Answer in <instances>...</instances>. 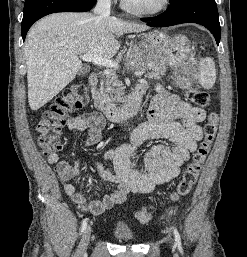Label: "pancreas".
<instances>
[{
	"label": "pancreas",
	"instance_id": "1",
	"mask_svg": "<svg viewBox=\"0 0 247 257\" xmlns=\"http://www.w3.org/2000/svg\"><path fill=\"white\" fill-rule=\"evenodd\" d=\"M134 65L130 68L137 71L149 70L146 77L149 79H161L166 72V67L158 62L150 64L142 62L138 57L132 59ZM99 102L107 107L115 106L116 102L123 101L124 87L114 72L105 75L100 81L99 87Z\"/></svg>",
	"mask_w": 247,
	"mask_h": 257
}]
</instances>
